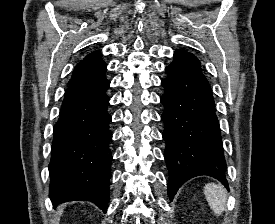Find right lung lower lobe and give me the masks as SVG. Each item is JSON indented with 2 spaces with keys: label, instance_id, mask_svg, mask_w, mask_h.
<instances>
[{
  "label": "right lung lower lobe",
  "instance_id": "98d812e1",
  "mask_svg": "<svg viewBox=\"0 0 275 224\" xmlns=\"http://www.w3.org/2000/svg\"><path fill=\"white\" fill-rule=\"evenodd\" d=\"M110 82L101 76L70 86L53 129L50 194L57 204L87 200L106 212L111 178L112 134L107 112Z\"/></svg>",
  "mask_w": 275,
  "mask_h": 224
}]
</instances>
